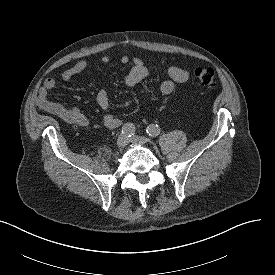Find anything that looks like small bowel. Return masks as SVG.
I'll use <instances>...</instances> for the list:
<instances>
[{"mask_svg":"<svg viewBox=\"0 0 275 275\" xmlns=\"http://www.w3.org/2000/svg\"><path fill=\"white\" fill-rule=\"evenodd\" d=\"M129 61L132 62V67L124 77V84L128 87H133L145 79L149 75L150 70L139 57H133L131 59L126 55L120 57V62L123 64ZM101 62L103 64H108L110 62V57L108 55H103L101 57ZM87 67L88 61L85 59L80 60L72 67L64 70L60 75L61 79L68 81L83 72ZM166 73L168 77L160 84V91L163 95L172 94L177 83H185L189 79L188 71L177 66L167 67ZM55 86L56 80L52 77L44 81L37 98L38 106L71 125L79 127L87 126L89 124V119L78 108L65 107L47 99L48 93L53 90ZM96 101L103 111L102 120L104 125L110 129L118 128L121 125V120L109 111L110 99L105 89L97 91Z\"/></svg>","mask_w":275,"mask_h":275,"instance_id":"small-bowel-1","label":"small bowel"}]
</instances>
